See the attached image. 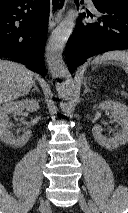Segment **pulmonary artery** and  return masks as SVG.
Instances as JSON below:
<instances>
[{"label":"pulmonary artery","instance_id":"obj_1","mask_svg":"<svg viewBox=\"0 0 128 213\" xmlns=\"http://www.w3.org/2000/svg\"><path fill=\"white\" fill-rule=\"evenodd\" d=\"M87 2H88L89 6H90L91 8H94V5H93L92 0H87Z\"/></svg>","mask_w":128,"mask_h":213}]
</instances>
